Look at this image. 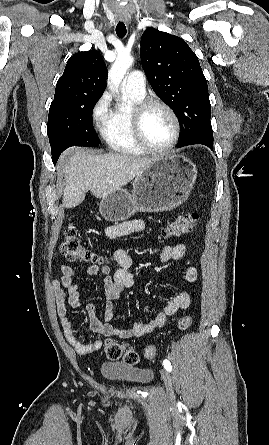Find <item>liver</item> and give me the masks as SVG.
<instances>
[{"label":"liver","instance_id":"obj_1","mask_svg":"<svg viewBox=\"0 0 269 445\" xmlns=\"http://www.w3.org/2000/svg\"><path fill=\"white\" fill-rule=\"evenodd\" d=\"M155 160L130 154L97 155L81 148L68 149L58 166L66 179L63 207L78 206L88 191L96 198H105L127 185Z\"/></svg>","mask_w":269,"mask_h":445}]
</instances>
